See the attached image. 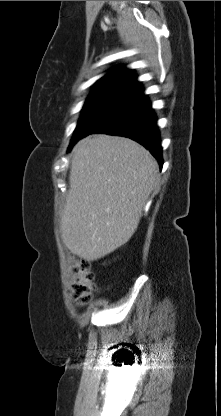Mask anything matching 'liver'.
Returning a JSON list of instances; mask_svg holds the SVG:
<instances>
[{"mask_svg":"<svg viewBox=\"0 0 221 416\" xmlns=\"http://www.w3.org/2000/svg\"><path fill=\"white\" fill-rule=\"evenodd\" d=\"M157 180L156 160L129 138L99 134L78 141L60 222L63 243L87 261L127 243Z\"/></svg>","mask_w":221,"mask_h":416,"instance_id":"liver-1","label":"liver"}]
</instances>
